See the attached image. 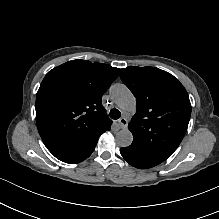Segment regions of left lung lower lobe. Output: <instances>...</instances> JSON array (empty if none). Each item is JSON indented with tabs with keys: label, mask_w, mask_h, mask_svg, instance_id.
Here are the masks:
<instances>
[{
	"label": "left lung lower lobe",
	"mask_w": 219,
	"mask_h": 219,
	"mask_svg": "<svg viewBox=\"0 0 219 219\" xmlns=\"http://www.w3.org/2000/svg\"><path fill=\"white\" fill-rule=\"evenodd\" d=\"M120 153L130 165L139 169H148L163 162L162 160L140 150L135 145L122 147Z\"/></svg>",
	"instance_id": "0a47b994"
}]
</instances>
